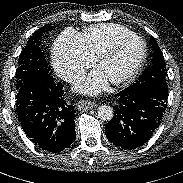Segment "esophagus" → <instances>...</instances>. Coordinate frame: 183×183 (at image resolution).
Segmentation results:
<instances>
[{"label":"esophagus","instance_id":"obj_1","mask_svg":"<svg viewBox=\"0 0 183 183\" xmlns=\"http://www.w3.org/2000/svg\"><path fill=\"white\" fill-rule=\"evenodd\" d=\"M97 106L96 102L87 101V100H79L77 103V108L79 111H86L92 109Z\"/></svg>","mask_w":183,"mask_h":183}]
</instances>
